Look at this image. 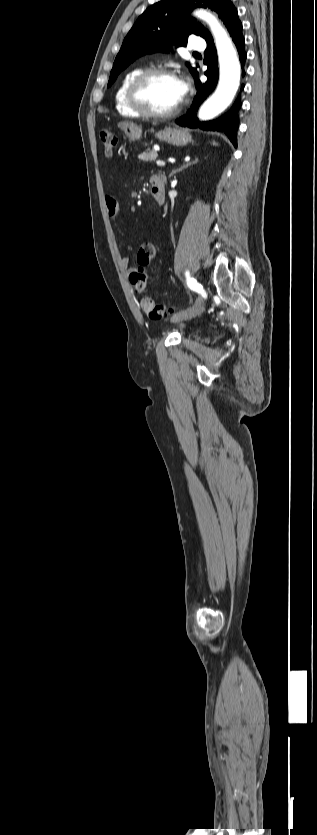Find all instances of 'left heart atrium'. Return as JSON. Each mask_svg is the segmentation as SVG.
Returning <instances> with one entry per match:
<instances>
[{
  "instance_id": "obj_1",
  "label": "left heart atrium",
  "mask_w": 317,
  "mask_h": 835,
  "mask_svg": "<svg viewBox=\"0 0 317 835\" xmlns=\"http://www.w3.org/2000/svg\"><path fill=\"white\" fill-rule=\"evenodd\" d=\"M177 91L181 100L188 90V83L183 79H176Z\"/></svg>"
}]
</instances>
